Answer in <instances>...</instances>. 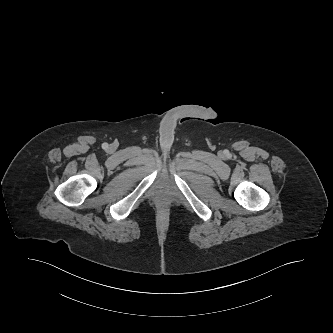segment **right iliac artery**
Here are the masks:
<instances>
[{
  "instance_id": "obj_1",
  "label": "right iliac artery",
  "mask_w": 333,
  "mask_h": 333,
  "mask_svg": "<svg viewBox=\"0 0 333 333\" xmlns=\"http://www.w3.org/2000/svg\"><path fill=\"white\" fill-rule=\"evenodd\" d=\"M102 147H103V149H106V148H108V144H107V143H104V144L102 145Z\"/></svg>"
}]
</instances>
